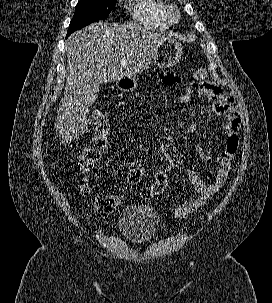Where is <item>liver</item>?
Segmentation results:
<instances>
[{"label": "liver", "instance_id": "obj_1", "mask_svg": "<svg viewBox=\"0 0 272 303\" xmlns=\"http://www.w3.org/2000/svg\"><path fill=\"white\" fill-rule=\"evenodd\" d=\"M169 39L170 33L134 23L96 22L73 33L65 43L68 76L56 119L57 137L67 144L84 134L99 85L148 69L159 46Z\"/></svg>", "mask_w": 272, "mask_h": 303}]
</instances>
